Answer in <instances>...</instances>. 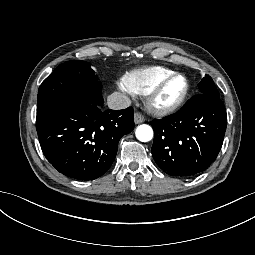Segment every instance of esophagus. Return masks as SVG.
<instances>
[{
  "mask_svg": "<svg viewBox=\"0 0 255 255\" xmlns=\"http://www.w3.org/2000/svg\"><path fill=\"white\" fill-rule=\"evenodd\" d=\"M144 116L140 112H136L134 114V121L136 124L142 123L144 121Z\"/></svg>",
  "mask_w": 255,
  "mask_h": 255,
  "instance_id": "esophagus-1",
  "label": "esophagus"
}]
</instances>
